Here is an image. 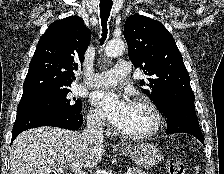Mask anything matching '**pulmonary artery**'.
<instances>
[{"label": "pulmonary artery", "mask_w": 224, "mask_h": 174, "mask_svg": "<svg viewBox=\"0 0 224 174\" xmlns=\"http://www.w3.org/2000/svg\"><path fill=\"white\" fill-rule=\"evenodd\" d=\"M130 73L128 62H118L111 70L96 73L85 80V84L92 87L110 86L121 82Z\"/></svg>", "instance_id": "pulmonary-artery-1"}]
</instances>
